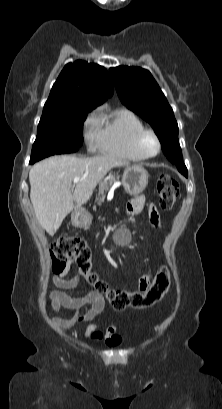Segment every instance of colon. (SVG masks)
<instances>
[{
  "instance_id": "5ec220e1",
  "label": "colon",
  "mask_w": 222,
  "mask_h": 409,
  "mask_svg": "<svg viewBox=\"0 0 222 409\" xmlns=\"http://www.w3.org/2000/svg\"><path fill=\"white\" fill-rule=\"evenodd\" d=\"M156 190L160 207L164 210H170L179 196V184L176 179L169 174H161L156 182ZM50 255L52 270L55 273L64 271L67 264L74 260L78 265L80 274L85 277L97 294L107 299L115 310L128 307L135 309L149 307L156 303L169 287V271L167 268H162L155 275H150L152 277L150 283H145L139 290L128 291L111 288L94 270L90 246L80 238L65 237L58 239L51 246ZM110 341H119V338L113 336Z\"/></svg>"
}]
</instances>
